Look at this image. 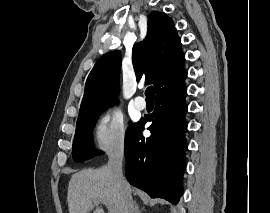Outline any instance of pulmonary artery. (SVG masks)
<instances>
[{"label":"pulmonary artery","instance_id":"obj_1","mask_svg":"<svg viewBox=\"0 0 270 213\" xmlns=\"http://www.w3.org/2000/svg\"><path fill=\"white\" fill-rule=\"evenodd\" d=\"M134 105L138 110H143L146 108V101L143 97L138 96L134 100Z\"/></svg>","mask_w":270,"mask_h":213}]
</instances>
